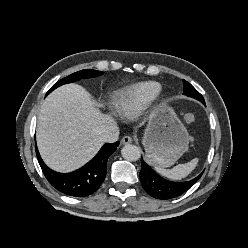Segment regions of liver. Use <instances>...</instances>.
Instances as JSON below:
<instances>
[{"instance_id": "liver-1", "label": "liver", "mask_w": 248, "mask_h": 248, "mask_svg": "<svg viewBox=\"0 0 248 248\" xmlns=\"http://www.w3.org/2000/svg\"><path fill=\"white\" fill-rule=\"evenodd\" d=\"M118 129L110 114H102L80 85L54 90L42 103L37 124V145L45 163L59 172L73 171L102 146V136Z\"/></svg>"}]
</instances>
